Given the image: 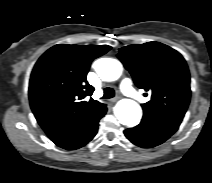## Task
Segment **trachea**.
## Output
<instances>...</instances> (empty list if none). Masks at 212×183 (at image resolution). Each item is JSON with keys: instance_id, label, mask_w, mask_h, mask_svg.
<instances>
[{"instance_id": "obj_1", "label": "trachea", "mask_w": 212, "mask_h": 183, "mask_svg": "<svg viewBox=\"0 0 212 183\" xmlns=\"http://www.w3.org/2000/svg\"><path fill=\"white\" fill-rule=\"evenodd\" d=\"M114 96H115V91L112 88L107 87L104 89L103 97L105 99H110V98H113Z\"/></svg>"}]
</instances>
